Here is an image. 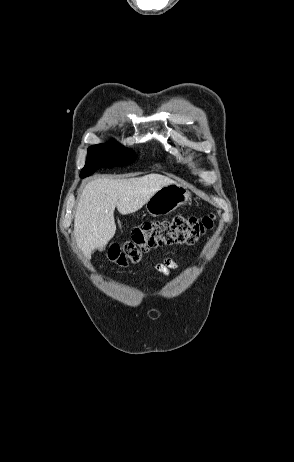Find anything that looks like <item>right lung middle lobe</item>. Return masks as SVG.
I'll return each instance as SVG.
<instances>
[{
  "label": "right lung middle lobe",
  "mask_w": 294,
  "mask_h": 462,
  "mask_svg": "<svg viewBox=\"0 0 294 462\" xmlns=\"http://www.w3.org/2000/svg\"><path fill=\"white\" fill-rule=\"evenodd\" d=\"M97 153H103L116 159L120 166L130 164L136 159V155L133 151L115 142L93 145L88 148L86 165L82 169L81 175L88 172V160Z\"/></svg>",
  "instance_id": "1"
}]
</instances>
